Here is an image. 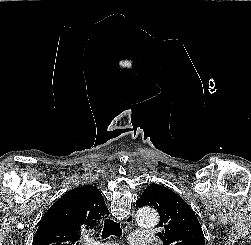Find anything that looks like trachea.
Listing matches in <instances>:
<instances>
[{
  "label": "trachea",
  "instance_id": "1",
  "mask_svg": "<svg viewBox=\"0 0 251 245\" xmlns=\"http://www.w3.org/2000/svg\"><path fill=\"white\" fill-rule=\"evenodd\" d=\"M111 235L120 237L122 235V229L118 222H115L112 219H106L104 223V228L102 231V238L106 239Z\"/></svg>",
  "mask_w": 251,
  "mask_h": 245
}]
</instances>
